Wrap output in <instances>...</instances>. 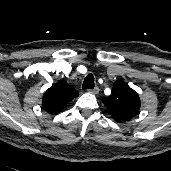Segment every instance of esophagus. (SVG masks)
Instances as JSON below:
<instances>
[{
	"label": "esophagus",
	"instance_id": "1",
	"mask_svg": "<svg viewBox=\"0 0 171 171\" xmlns=\"http://www.w3.org/2000/svg\"><path fill=\"white\" fill-rule=\"evenodd\" d=\"M88 92L92 94H97L99 92V88L96 86L93 89H88Z\"/></svg>",
	"mask_w": 171,
	"mask_h": 171
}]
</instances>
